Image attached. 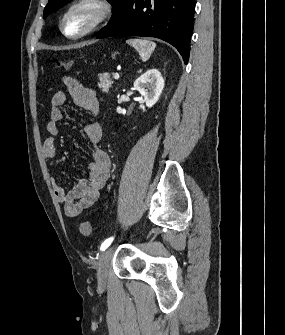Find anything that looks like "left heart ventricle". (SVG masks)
Segmentation results:
<instances>
[{
  "label": "left heart ventricle",
  "instance_id": "1",
  "mask_svg": "<svg viewBox=\"0 0 285 335\" xmlns=\"http://www.w3.org/2000/svg\"><path fill=\"white\" fill-rule=\"evenodd\" d=\"M96 14L97 12L93 8L84 7L76 11L75 17L80 25L85 26L95 18Z\"/></svg>",
  "mask_w": 285,
  "mask_h": 335
}]
</instances>
